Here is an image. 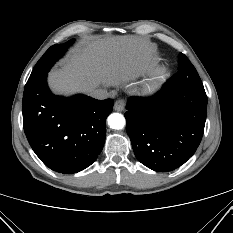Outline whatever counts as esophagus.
Listing matches in <instances>:
<instances>
[{
  "mask_svg": "<svg viewBox=\"0 0 233 233\" xmlns=\"http://www.w3.org/2000/svg\"><path fill=\"white\" fill-rule=\"evenodd\" d=\"M125 108V101L123 99H118L114 104V110L121 112Z\"/></svg>",
  "mask_w": 233,
  "mask_h": 233,
  "instance_id": "esophagus-1",
  "label": "esophagus"
}]
</instances>
